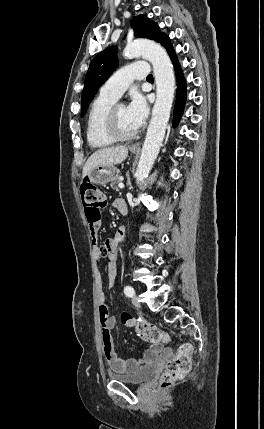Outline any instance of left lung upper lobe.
Returning <instances> with one entry per match:
<instances>
[{
  "instance_id": "obj_1",
  "label": "left lung upper lobe",
  "mask_w": 264,
  "mask_h": 429,
  "mask_svg": "<svg viewBox=\"0 0 264 429\" xmlns=\"http://www.w3.org/2000/svg\"><path fill=\"white\" fill-rule=\"evenodd\" d=\"M131 26L134 35L140 38H148L160 42L165 35L161 33L156 23L144 15L133 17ZM117 48L109 47L99 53L92 60L85 77V85L81 99V117L86 113L89 103L94 98L99 87L109 78L117 66Z\"/></svg>"
}]
</instances>
